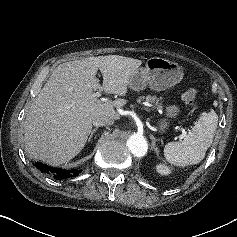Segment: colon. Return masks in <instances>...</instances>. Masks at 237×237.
Masks as SVG:
<instances>
[{
    "instance_id": "colon-1",
    "label": "colon",
    "mask_w": 237,
    "mask_h": 237,
    "mask_svg": "<svg viewBox=\"0 0 237 237\" xmlns=\"http://www.w3.org/2000/svg\"><path fill=\"white\" fill-rule=\"evenodd\" d=\"M196 99V90L189 89L182 95V101L187 107H192Z\"/></svg>"
}]
</instances>
